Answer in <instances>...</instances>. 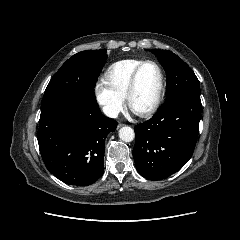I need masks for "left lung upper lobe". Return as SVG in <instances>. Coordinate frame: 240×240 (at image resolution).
<instances>
[{
    "label": "left lung upper lobe",
    "mask_w": 240,
    "mask_h": 240,
    "mask_svg": "<svg viewBox=\"0 0 240 240\" xmlns=\"http://www.w3.org/2000/svg\"><path fill=\"white\" fill-rule=\"evenodd\" d=\"M166 71L167 99L183 92L200 93V83L191 68L169 50H150Z\"/></svg>",
    "instance_id": "obj_1"
}]
</instances>
